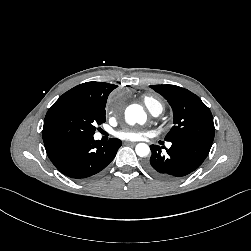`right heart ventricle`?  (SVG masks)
<instances>
[{
  "instance_id": "1",
  "label": "right heart ventricle",
  "mask_w": 251,
  "mask_h": 251,
  "mask_svg": "<svg viewBox=\"0 0 251 251\" xmlns=\"http://www.w3.org/2000/svg\"><path fill=\"white\" fill-rule=\"evenodd\" d=\"M143 102L149 110L159 109L160 111H162L163 109L161 102L152 96H144Z\"/></svg>"
}]
</instances>
